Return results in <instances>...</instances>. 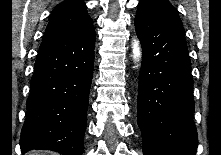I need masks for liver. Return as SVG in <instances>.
Listing matches in <instances>:
<instances>
[{"mask_svg": "<svg viewBox=\"0 0 221 155\" xmlns=\"http://www.w3.org/2000/svg\"><path fill=\"white\" fill-rule=\"evenodd\" d=\"M28 155H38V152H31V153H28Z\"/></svg>", "mask_w": 221, "mask_h": 155, "instance_id": "liver-1", "label": "liver"}]
</instances>
